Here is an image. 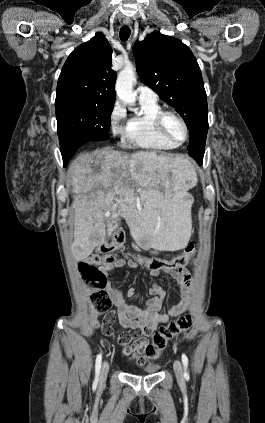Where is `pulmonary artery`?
Wrapping results in <instances>:
<instances>
[{
    "instance_id": "e3ab8cb5",
    "label": "pulmonary artery",
    "mask_w": 265,
    "mask_h": 423,
    "mask_svg": "<svg viewBox=\"0 0 265 423\" xmlns=\"http://www.w3.org/2000/svg\"><path fill=\"white\" fill-rule=\"evenodd\" d=\"M138 99L141 101H156L157 94L147 86H139L136 89Z\"/></svg>"
}]
</instances>
